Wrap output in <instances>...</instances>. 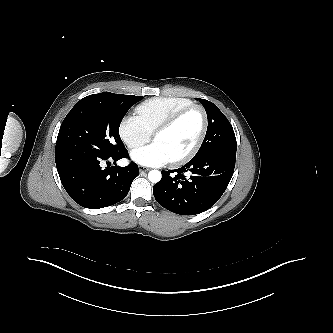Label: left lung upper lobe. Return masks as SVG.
<instances>
[{
    "label": "left lung upper lobe",
    "instance_id": "left-lung-upper-lobe-1",
    "mask_svg": "<svg viewBox=\"0 0 333 333\" xmlns=\"http://www.w3.org/2000/svg\"><path fill=\"white\" fill-rule=\"evenodd\" d=\"M204 106L208 117V128L204 141L194 157H198L213 151H236L237 144L233 128L212 102L205 99H197Z\"/></svg>",
    "mask_w": 333,
    "mask_h": 333
}]
</instances>
